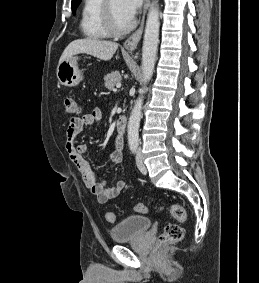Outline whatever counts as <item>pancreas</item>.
I'll return each instance as SVG.
<instances>
[{"label":"pancreas","instance_id":"1","mask_svg":"<svg viewBox=\"0 0 259 283\" xmlns=\"http://www.w3.org/2000/svg\"><path fill=\"white\" fill-rule=\"evenodd\" d=\"M121 82V75L113 71L104 76V85L108 90H114V86Z\"/></svg>","mask_w":259,"mask_h":283}]
</instances>
